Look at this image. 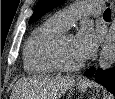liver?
Masks as SVG:
<instances>
[{"label": "liver", "instance_id": "6515ba94", "mask_svg": "<svg viewBox=\"0 0 115 99\" xmlns=\"http://www.w3.org/2000/svg\"><path fill=\"white\" fill-rule=\"evenodd\" d=\"M73 77L41 76L23 78L15 86L17 99H60L74 85Z\"/></svg>", "mask_w": 115, "mask_h": 99}]
</instances>
